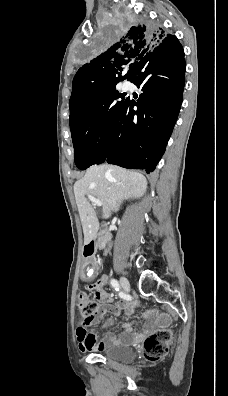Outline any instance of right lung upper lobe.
Listing matches in <instances>:
<instances>
[{"label":"right lung upper lobe","instance_id":"right-lung-upper-lobe-1","mask_svg":"<svg viewBox=\"0 0 228 396\" xmlns=\"http://www.w3.org/2000/svg\"><path fill=\"white\" fill-rule=\"evenodd\" d=\"M128 35L131 36V44H125V40H121L77 71L72 83L69 119L81 114L119 81L129 80L140 61L154 52L158 46L166 50L180 45L174 35H165L161 28L151 31L146 29L145 25L133 27ZM118 49L123 54H119ZM125 67H128V71L124 70ZM122 73L125 75L121 76Z\"/></svg>","mask_w":228,"mask_h":396}]
</instances>
